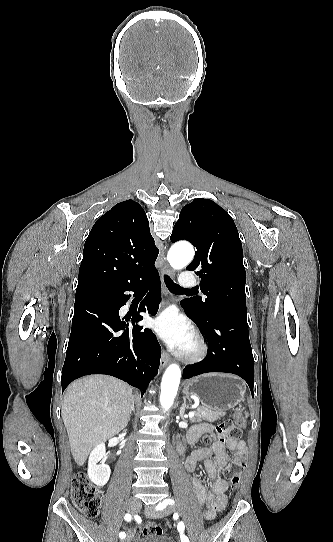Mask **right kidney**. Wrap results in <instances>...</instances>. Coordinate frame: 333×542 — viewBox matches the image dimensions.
Instances as JSON below:
<instances>
[{
  "label": "right kidney",
  "mask_w": 333,
  "mask_h": 542,
  "mask_svg": "<svg viewBox=\"0 0 333 542\" xmlns=\"http://www.w3.org/2000/svg\"><path fill=\"white\" fill-rule=\"evenodd\" d=\"M106 454L105 444H98L94 450H92L88 460V476L89 480L96 484V486H105L107 484L111 470L107 464H98Z\"/></svg>",
  "instance_id": "ca27d5eb"
}]
</instances>
